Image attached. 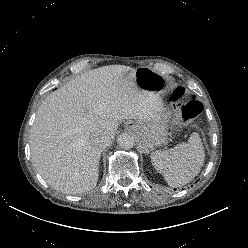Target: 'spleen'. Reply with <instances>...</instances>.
I'll list each match as a JSON object with an SVG mask.
<instances>
[{"mask_svg":"<svg viewBox=\"0 0 248 248\" xmlns=\"http://www.w3.org/2000/svg\"><path fill=\"white\" fill-rule=\"evenodd\" d=\"M204 159L205 152L198 133H193L187 143L151 153L152 165L172 187L185 185L194 179L200 172Z\"/></svg>","mask_w":248,"mask_h":248,"instance_id":"1","label":"spleen"}]
</instances>
